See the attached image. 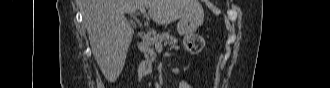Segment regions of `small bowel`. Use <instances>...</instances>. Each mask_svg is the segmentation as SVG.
I'll return each mask as SVG.
<instances>
[{"label":"small bowel","instance_id":"obj_1","mask_svg":"<svg viewBox=\"0 0 330 88\" xmlns=\"http://www.w3.org/2000/svg\"><path fill=\"white\" fill-rule=\"evenodd\" d=\"M174 73L178 74L179 73L178 69H174ZM178 88H192V86L190 82H188L187 80H180L178 84Z\"/></svg>","mask_w":330,"mask_h":88}]
</instances>
